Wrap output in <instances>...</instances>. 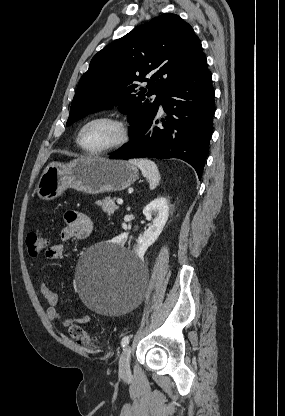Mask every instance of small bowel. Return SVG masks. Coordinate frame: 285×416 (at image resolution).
<instances>
[{
    "label": "small bowel",
    "mask_w": 285,
    "mask_h": 416,
    "mask_svg": "<svg viewBox=\"0 0 285 416\" xmlns=\"http://www.w3.org/2000/svg\"><path fill=\"white\" fill-rule=\"evenodd\" d=\"M64 219L66 226L59 233L60 242L47 247L45 256L51 260L61 259L64 254L63 243L72 239L83 240L90 236L93 224L89 216L82 212L69 210L65 213ZM40 292L48 305L46 309L47 319L51 323L62 322L65 327L73 324H86L90 317L82 315L76 319H64L57 310L59 303L58 294L45 282L40 284Z\"/></svg>",
    "instance_id": "obj_1"
}]
</instances>
